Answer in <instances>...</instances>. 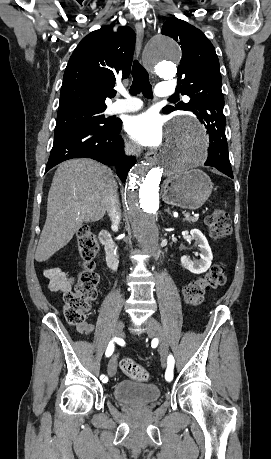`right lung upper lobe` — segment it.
Listing matches in <instances>:
<instances>
[{
	"mask_svg": "<svg viewBox=\"0 0 271 459\" xmlns=\"http://www.w3.org/2000/svg\"><path fill=\"white\" fill-rule=\"evenodd\" d=\"M135 33L127 26L114 33L105 26L84 37L64 72L58 111L82 106H106L116 80L130 74Z\"/></svg>",
	"mask_w": 271,
	"mask_h": 459,
	"instance_id": "1",
	"label": "right lung upper lobe"
}]
</instances>
